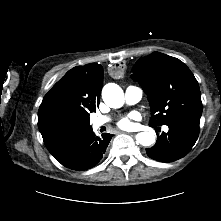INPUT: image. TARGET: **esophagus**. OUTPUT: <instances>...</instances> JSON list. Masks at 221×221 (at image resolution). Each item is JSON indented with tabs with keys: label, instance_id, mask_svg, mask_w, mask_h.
Returning a JSON list of instances; mask_svg holds the SVG:
<instances>
[{
	"label": "esophagus",
	"instance_id": "esophagus-1",
	"mask_svg": "<svg viewBox=\"0 0 221 221\" xmlns=\"http://www.w3.org/2000/svg\"><path fill=\"white\" fill-rule=\"evenodd\" d=\"M118 133H123L124 136H127L128 134L134 135V133H128L127 131H119Z\"/></svg>",
	"mask_w": 221,
	"mask_h": 221
}]
</instances>
